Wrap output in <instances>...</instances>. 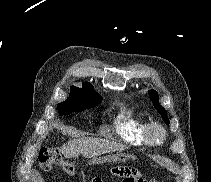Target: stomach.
<instances>
[{"mask_svg":"<svg viewBox=\"0 0 211 182\" xmlns=\"http://www.w3.org/2000/svg\"><path fill=\"white\" fill-rule=\"evenodd\" d=\"M128 155H125V154H119V155H116L114 156V158L118 161H125L128 159Z\"/></svg>","mask_w":211,"mask_h":182,"instance_id":"stomach-1","label":"stomach"}]
</instances>
